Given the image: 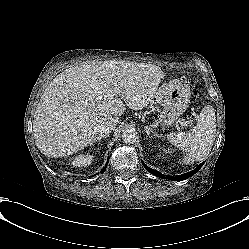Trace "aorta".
Instances as JSON below:
<instances>
[{"mask_svg":"<svg viewBox=\"0 0 249 249\" xmlns=\"http://www.w3.org/2000/svg\"><path fill=\"white\" fill-rule=\"evenodd\" d=\"M137 139V133L132 129H127L122 133V140L125 144H134Z\"/></svg>","mask_w":249,"mask_h":249,"instance_id":"1","label":"aorta"}]
</instances>
